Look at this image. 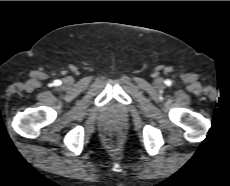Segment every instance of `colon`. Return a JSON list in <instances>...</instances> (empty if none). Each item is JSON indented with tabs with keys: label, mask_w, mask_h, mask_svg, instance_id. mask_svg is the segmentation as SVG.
I'll return each mask as SVG.
<instances>
[{
	"label": "colon",
	"mask_w": 230,
	"mask_h": 186,
	"mask_svg": "<svg viewBox=\"0 0 230 186\" xmlns=\"http://www.w3.org/2000/svg\"><path fill=\"white\" fill-rule=\"evenodd\" d=\"M105 146L110 150H117L122 143V134L117 128H108L103 134Z\"/></svg>",
	"instance_id": "5ec220e1"
}]
</instances>
